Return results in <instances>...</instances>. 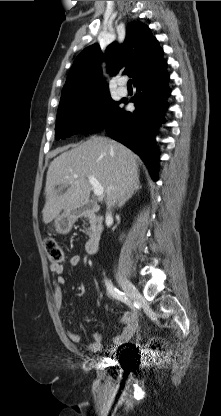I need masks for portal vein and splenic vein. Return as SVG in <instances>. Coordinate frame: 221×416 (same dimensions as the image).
Instances as JSON below:
<instances>
[{
	"mask_svg": "<svg viewBox=\"0 0 221 416\" xmlns=\"http://www.w3.org/2000/svg\"><path fill=\"white\" fill-rule=\"evenodd\" d=\"M74 178H77V175H74ZM88 181L91 184V186L94 189V194L98 197H101L103 195L104 189L102 185L99 183V181L92 175H89Z\"/></svg>",
	"mask_w": 221,
	"mask_h": 416,
	"instance_id": "obj_1",
	"label": "portal vein and splenic vein"
}]
</instances>
